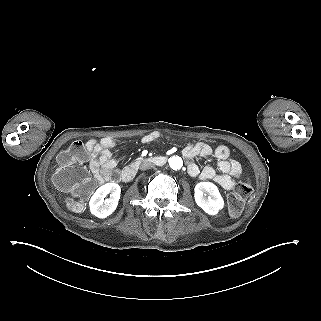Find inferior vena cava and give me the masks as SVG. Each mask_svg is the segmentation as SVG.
Here are the masks:
<instances>
[{
	"label": "inferior vena cava",
	"instance_id": "obj_1",
	"mask_svg": "<svg viewBox=\"0 0 321 321\" xmlns=\"http://www.w3.org/2000/svg\"><path fill=\"white\" fill-rule=\"evenodd\" d=\"M154 167H155V165L152 162L145 161L140 165V170L144 171V170H148V169H151Z\"/></svg>",
	"mask_w": 321,
	"mask_h": 321
}]
</instances>
